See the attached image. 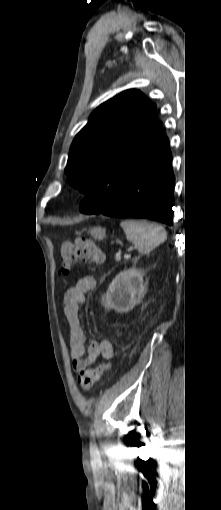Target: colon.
I'll return each mask as SVG.
<instances>
[{
  "mask_svg": "<svg viewBox=\"0 0 221 510\" xmlns=\"http://www.w3.org/2000/svg\"><path fill=\"white\" fill-rule=\"evenodd\" d=\"M103 252L87 238H78L74 242L66 241L61 245L59 260L64 273L69 272L76 263H101L104 261ZM110 369L109 363H101L94 370L79 373L80 387L88 392L93 385Z\"/></svg>",
  "mask_w": 221,
  "mask_h": 510,
  "instance_id": "colon-1",
  "label": "colon"
}]
</instances>
